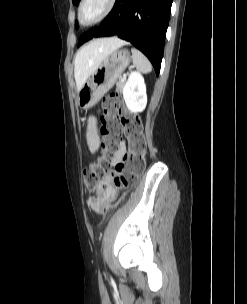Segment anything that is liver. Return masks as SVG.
I'll return each mask as SVG.
<instances>
[{"label": "liver", "instance_id": "liver-1", "mask_svg": "<svg viewBox=\"0 0 247 304\" xmlns=\"http://www.w3.org/2000/svg\"><path fill=\"white\" fill-rule=\"evenodd\" d=\"M125 41L117 38L93 40L78 50L74 59V76L79 91L87 79L96 71L101 62L116 51Z\"/></svg>", "mask_w": 247, "mask_h": 304}]
</instances>
